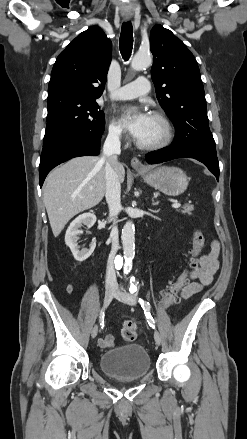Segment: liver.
Wrapping results in <instances>:
<instances>
[{
  "mask_svg": "<svg viewBox=\"0 0 247 439\" xmlns=\"http://www.w3.org/2000/svg\"><path fill=\"white\" fill-rule=\"evenodd\" d=\"M106 162L107 156L104 154L76 157L47 176L43 202L55 237L59 236L72 217L96 206L103 199L106 192ZM117 173L120 182H123V164L119 163Z\"/></svg>",
  "mask_w": 247,
  "mask_h": 439,
  "instance_id": "liver-1",
  "label": "liver"
}]
</instances>
